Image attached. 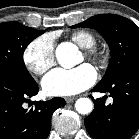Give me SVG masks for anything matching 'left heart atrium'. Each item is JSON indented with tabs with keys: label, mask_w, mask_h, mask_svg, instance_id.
<instances>
[{
	"label": "left heart atrium",
	"mask_w": 139,
	"mask_h": 139,
	"mask_svg": "<svg viewBox=\"0 0 139 139\" xmlns=\"http://www.w3.org/2000/svg\"><path fill=\"white\" fill-rule=\"evenodd\" d=\"M97 79L95 69L84 63L73 69L56 68L42 80V87L51 96H70L91 87Z\"/></svg>",
	"instance_id": "left-heart-atrium-1"
}]
</instances>
